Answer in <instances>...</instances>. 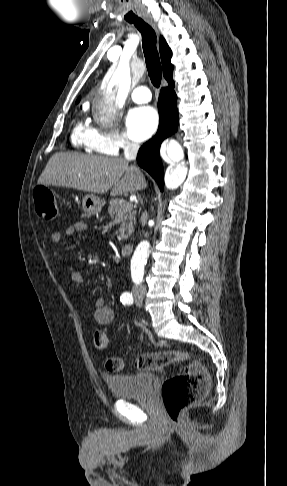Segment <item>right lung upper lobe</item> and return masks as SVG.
I'll return each instance as SVG.
<instances>
[{"mask_svg": "<svg viewBox=\"0 0 287 486\" xmlns=\"http://www.w3.org/2000/svg\"><path fill=\"white\" fill-rule=\"evenodd\" d=\"M159 50H160V56H161V61L163 66V75L168 82H171L173 81L172 79L173 65L170 62L172 52L163 37H160L159 40ZM79 100L80 98L76 101V103H78Z\"/></svg>", "mask_w": 287, "mask_h": 486, "instance_id": "1", "label": "right lung upper lobe"}]
</instances>
